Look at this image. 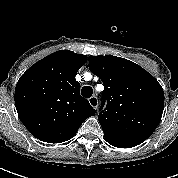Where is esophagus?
Returning a JSON list of instances; mask_svg holds the SVG:
<instances>
[{
	"label": "esophagus",
	"mask_w": 178,
	"mask_h": 178,
	"mask_svg": "<svg viewBox=\"0 0 178 178\" xmlns=\"http://www.w3.org/2000/svg\"><path fill=\"white\" fill-rule=\"evenodd\" d=\"M89 103L94 109H97V107H98V99H97L96 96L90 97L89 98Z\"/></svg>",
	"instance_id": "obj_1"
}]
</instances>
